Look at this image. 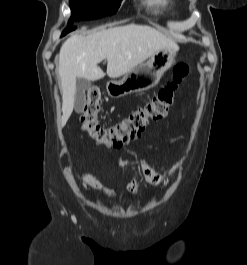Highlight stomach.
Here are the masks:
<instances>
[{"mask_svg": "<svg viewBox=\"0 0 247 265\" xmlns=\"http://www.w3.org/2000/svg\"><path fill=\"white\" fill-rule=\"evenodd\" d=\"M178 49L162 48L156 51L146 63L129 71L121 80H111L106 89L110 97L120 98L134 92L156 86L163 74L176 62Z\"/></svg>", "mask_w": 247, "mask_h": 265, "instance_id": "stomach-1", "label": "stomach"}]
</instances>
